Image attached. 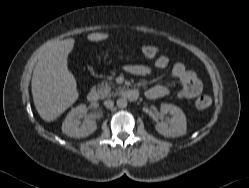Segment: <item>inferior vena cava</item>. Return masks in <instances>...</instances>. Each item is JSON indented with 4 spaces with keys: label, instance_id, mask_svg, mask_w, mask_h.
<instances>
[{
    "label": "inferior vena cava",
    "instance_id": "1",
    "mask_svg": "<svg viewBox=\"0 0 249 188\" xmlns=\"http://www.w3.org/2000/svg\"><path fill=\"white\" fill-rule=\"evenodd\" d=\"M104 106L108 109H112L114 106V102L112 100H106L104 101Z\"/></svg>",
    "mask_w": 249,
    "mask_h": 188
}]
</instances>
